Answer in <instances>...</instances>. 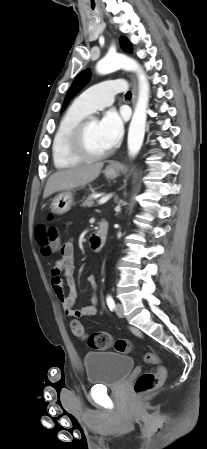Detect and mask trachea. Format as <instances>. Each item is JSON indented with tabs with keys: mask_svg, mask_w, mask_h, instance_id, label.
<instances>
[{
	"mask_svg": "<svg viewBox=\"0 0 207 449\" xmlns=\"http://www.w3.org/2000/svg\"><path fill=\"white\" fill-rule=\"evenodd\" d=\"M125 96H126V98H131L132 94H131V92L129 91V92L126 93Z\"/></svg>",
	"mask_w": 207,
	"mask_h": 449,
	"instance_id": "3493384b",
	"label": "trachea"
}]
</instances>
